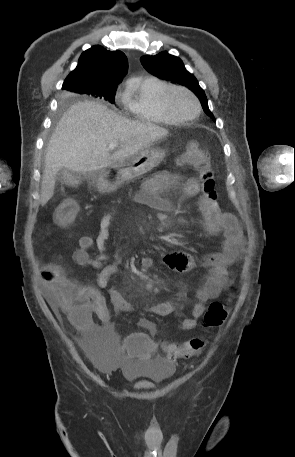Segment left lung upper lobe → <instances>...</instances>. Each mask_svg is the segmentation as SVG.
<instances>
[{
    "label": "left lung upper lobe",
    "instance_id": "obj_1",
    "mask_svg": "<svg viewBox=\"0 0 295 457\" xmlns=\"http://www.w3.org/2000/svg\"><path fill=\"white\" fill-rule=\"evenodd\" d=\"M147 72L161 79L172 80L188 87L200 99L204 112L212 119H215L208 108V102L203 89L199 86L197 79L189 73L182 62L176 56L167 52H161L155 56L145 55L140 59Z\"/></svg>",
    "mask_w": 295,
    "mask_h": 457
}]
</instances>
